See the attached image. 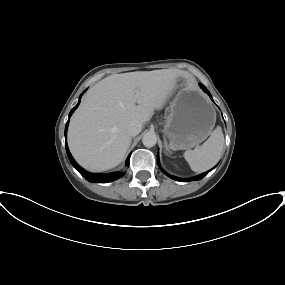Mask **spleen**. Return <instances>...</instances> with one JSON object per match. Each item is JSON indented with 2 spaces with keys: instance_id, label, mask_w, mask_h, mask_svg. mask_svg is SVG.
<instances>
[{
  "instance_id": "3e777b00",
  "label": "spleen",
  "mask_w": 285,
  "mask_h": 285,
  "mask_svg": "<svg viewBox=\"0 0 285 285\" xmlns=\"http://www.w3.org/2000/svg\"><path fill=\"white\" fill-rule=\"evenodd\" d=\"M223 146L224 135L222 129L217 127L203 145L185 151L184 158L194 172H204L219 161Z\"/></svg>"
}]
</instances>
